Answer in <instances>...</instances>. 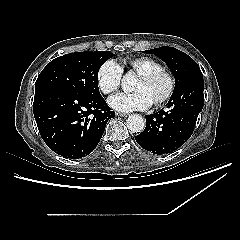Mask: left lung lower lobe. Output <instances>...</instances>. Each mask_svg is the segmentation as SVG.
Here are the masks:
<instances>
[{
	"instance_id": "0a47b994",
	"label": "left lung lower lobe",
	"mask_w": 240,
	"mask_h": 240,
	"mask_svg": "<svg viewBox=\"0 0 240 240\" xmlns=\"http://www.w3.org/2000/svg\"><path fill=\"white\" fill-rule=\"evenodd\" d=\"M203 105V79L174 89L167 109L146 116L144 131L135 137L137 143L158 155L175 151L190 138Z\"/></svg>"
}]
</instances>
